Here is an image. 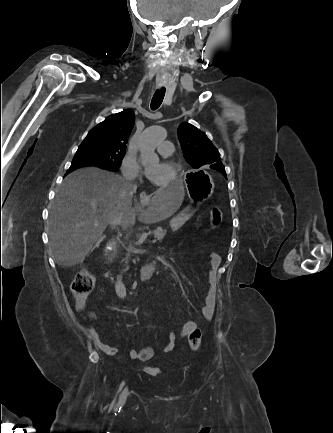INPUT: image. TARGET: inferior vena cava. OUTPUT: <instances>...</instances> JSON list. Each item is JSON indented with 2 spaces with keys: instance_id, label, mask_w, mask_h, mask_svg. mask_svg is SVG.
Wrapping results in <instances>:
<instances>
[{
  "instance_id": "602c4592",
  "label": "inferior vena cava",
  "mask_w": 333,
  "mask_h": 433,
  "mask_svg": "<svg viewBox=\"0 0 333 433\" xmlns=\"http://www.w3.org/2000/svg\"><path fill=\"white\" fill-rule=\"evenodd\" d=\"M128 180H131V178H128ZM131 185H132V188H134V189L137 188L136 184H131ZM120 223H121V217L119 215H115L112 218L110 225L112 228H115L116 226L120 225Z\"/></svg>"
}]
</instances>
